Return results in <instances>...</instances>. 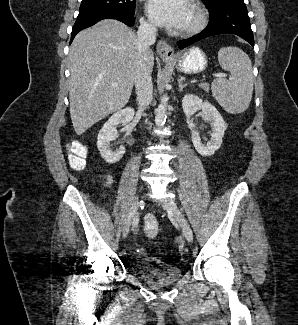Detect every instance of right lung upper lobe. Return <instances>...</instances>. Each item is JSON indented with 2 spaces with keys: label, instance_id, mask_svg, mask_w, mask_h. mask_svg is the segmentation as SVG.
I'll return each instance as SVG.
<instances>
[{
  "label": "right lung upper lobe",
  "instance_id": "1",
  "mask_svg": "<svg viewBox=\"0 0 298 325\" xmlns=\"http://www.w3.org/2000/svg\"><path fill=\"white\" fill-rule=\"evenodd\" d=\"M100 12H111V10H103V11H100ZM100 12H97V13H100Z\"/></svg>",
  "mask_w": 298,
  "mask_h": 325
}]
</instances>
